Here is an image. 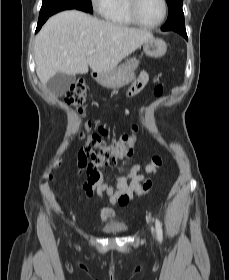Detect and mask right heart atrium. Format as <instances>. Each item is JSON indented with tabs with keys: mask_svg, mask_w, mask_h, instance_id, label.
I'll return each instance as SVG.
<instances>
[{
	"mask_svg": "<svg viewBox=\"0 0 229 280\" xmlns=\"http://www.w3.org/2000/svg\"><path fill=\"white\" fill-rule=\"evenodd\" d=\"M111 1L112 0H90L92 7L100 15H103L107 11Z\"/></svg>",
	"mask_w": 229,
	"mask_h": 280,
	"instance_id": "d8ad5b80",
	"label": "right heart atrium"
}]
</instances>
